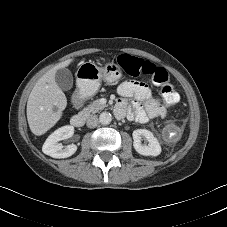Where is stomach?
Returning <instances> with one entry per match:
<instances>
[{
  "instance_id": "1",
  "label": "stomach",
  "mask_w": 227,
  "mask_h": 227,
  "mask_svg": "<svg viewBox=\"0 0 227 227\" xmlns=\"http://www.w3.org/2000/svg\"><path fill=\"white\" fill-rule=\"evenodd\" d=\"M77 75L79 92L90 97L97 93L102 80L114 83L122 77V72L120 66L115 63H108L100 68L92 62H84L78 68Z\"/></svg>"
}]
</instances>
